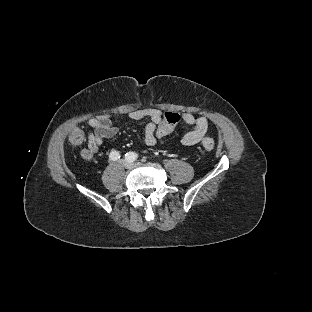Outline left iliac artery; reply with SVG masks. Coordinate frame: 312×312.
<instances>
[{"instance_id": "44dca946", "label": "left iliac artery", "mask_w": 312, "mask_h": 312, "mask_svg": "<svg viewBox=\"0 0 312 312\" xmlns=\"http://www.w3.org/2000/svg\"><path fill=\"white\" fill-rule=\"evenodd\" d=\"M126 155L132 156L133 158H136V157H137V154H135V153H133V152H129V153H127Z\"/></svg>"}]
</instances>
